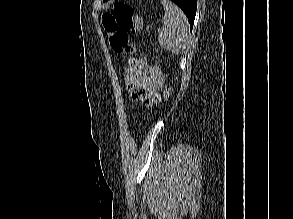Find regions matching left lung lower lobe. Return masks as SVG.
<instances>
[{"label":"left lung lower lobe","instance_id":"1","mask_svg":"<svg viewBox=\"0 0 293 219\" xmlns=\"http://www.w3.org/2000/svg\"><path fill=\"white\" fill-rule=\"evenodd\" d=\"M171 1H173L183 10V12L188 17L190 28L192 29L195 15H196L197 0H171Z\"/></svg>","mask_w":293,"mask_h":219}]
</instances>
